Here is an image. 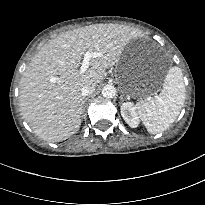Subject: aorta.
<instances>
[{
	"label": "aorta",
	"mask_w": 205,
	"mask_h": 205,
	"mask_svg": "<svg viewBox=\"0 0 205 205\" xmlns=\"http://www.w3.org/2000/svg\"><path fill=\"white\" fill-rule=\"evenodd\" d=\"M102 95L105 98H114L116 95V88L113 85H105L102 89Z\"/></svg>",
	"instance_id": "obj_1"
}]
</instances>
